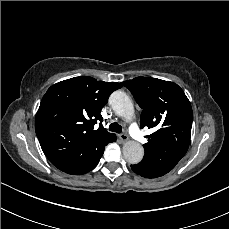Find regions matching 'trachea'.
Returning <instances> with one entry per match:
<instances>
[{"instance_id": "obj_1", "label": "trachea", "mask_w": 229, "mask_h": 229, "mask_svg": "<svg viewBox=\"0 0 229 229\" xmlns=\"http://www.w3.org/2000/svg\"><path fill=\"white\" fill-rule=\"evenodd\" d=\"M109 131L115 132V133H121L122 127L116 122H113L109 125Z\"/></svg>"}]
</instances>
